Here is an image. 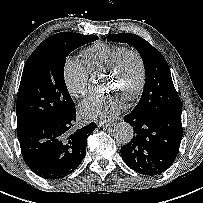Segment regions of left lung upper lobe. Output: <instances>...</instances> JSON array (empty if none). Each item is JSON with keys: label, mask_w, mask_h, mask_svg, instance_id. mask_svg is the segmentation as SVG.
I'll return each instance as SVG.
<instances>
[{"label": "left lung upper lobe", "mask_w": 203, "mask_h": 203, "mask_svg": "<svg viewBox=\"0 0 203 203\" xmlns=\"http://www.w3.org/2000/svg\"><path fill=\"white\" fill-rule=\"evenodd\" d=\"M107 40L128 43L135 47L142 57L146 80L142 96L132 112L148 116L182 112V103L175 90L169 66L156 48L131 33L109 35Z\"/></svg>", "instance_id": "left-lung-upper-lobe-1"}]
</instances>
